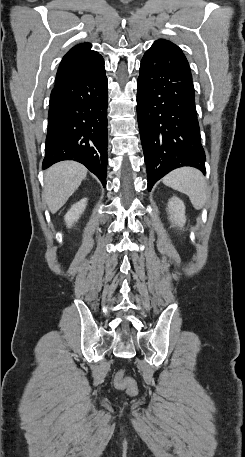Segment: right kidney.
Here are the masks:
<instances>
[{"label":"right kidney","mask_w":245,"mask_h":457,"mask_svg":"<svg viewBox=\"0 0 245 457\" xmlns=\"http://www.w3.org/2000/svg\"><path fill=\"white\" fill-rule=\"evenodd\" d=\"M87 204V198H81V200H78V202H75V204H72L70 210L66 212L64 216V220L68 226V229H71V226H73L74 222L78 220L80 214L84 212Z\"/></svg>","instance_id":"ca27d5eb"}]
</instances>
